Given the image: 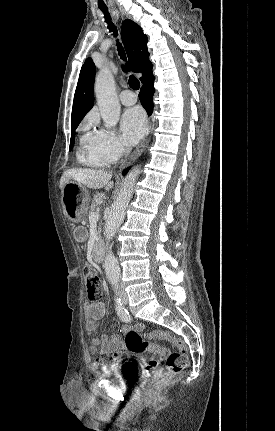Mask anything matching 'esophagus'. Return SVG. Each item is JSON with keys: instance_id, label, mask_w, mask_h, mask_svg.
I'll use <instances>...</instances> for the list:
<instances>
[{"instance_id": "obj_1", "label": "esophagus", "mask_w": 275, "mask_h": 431, "mask_svg": "<svg viewBox=\"0 0 275 431\" xmlns=\"http://www.w3.org/2000/svg\"><path fill=\"white\" fill-rule=\"evenodd\" d=\"M150 130H151V126L149 127V131H148L146 137L144 138V140L140 143L139 146H137V148L133 151V153L124 162V163H126V165L130 164L132 161H134L136 158H138L141 155V153L144 151L146 145L148 144V142L150 140V136H149Z\"/></svg>"}]
</instances>
